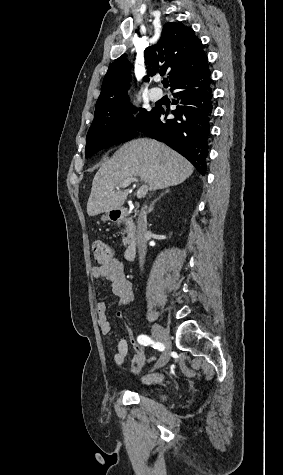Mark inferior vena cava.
Wrapping results in <instances>:
<instances>
[{
    "label": "inferior vena cava",
    "instance_id": "602c4592",
    "mask_svg": "<svg viewBox=\"0 0 283 475\" xmlns=\"http://www.w3.org/2000/svg\"><path fill=\"white\" fill-rule=\"evenodd\" d=\"M147 212L145 208H142L138 222H137V247L139 253V263L140 267H142L145 261L146 249H147Z\"/></svg>",
    "mask_w": 283,
    "mask_h": 475
}]
</instances>
